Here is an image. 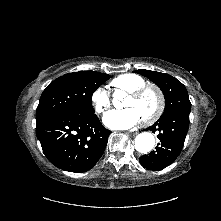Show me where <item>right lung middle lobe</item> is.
<instances>
[{
    "label": "right lung middle lobe",
    "mask_w": 221,
    "mask_h": 221,
    "mask_svg": "<svg viewBox=\"0 0 221 221\" xmlns=\"http://www.w3.org/2000/svg\"><path fill=\"white\" fill-rule=\"evenodd\" d=\"M110 75L81 71L63 75L43 91L36 109V123L60 114L94 115L92 95Z\"/></svg>",
    "instance_id": "dd1d6c3e"
}]
</instances>
